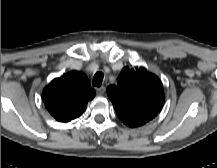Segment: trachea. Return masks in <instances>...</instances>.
<instances>
[{"label": "trachea", "instance_id": "1", "mask_svg": "<svg viewBox=\"0 0 217 168\" xmlns=\"http://www.w3.org/2000/svg\"><path fill=\"white\" fill-rule=\"evenodd\" d=\"M103 73L97 72L93 78V86L100 87L103 81Z\"/></svg>", "mask_w": 217, "mask_h": 168}]
</instances>
